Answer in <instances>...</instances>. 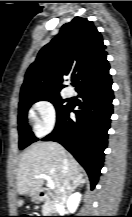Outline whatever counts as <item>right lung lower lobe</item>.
I'll list each match as a JSON object with an SVG mask.
<instances>
[{"instance_id":"obj_1","label":"right lung lower lobe","mask_w":132,"mask_h":217,"mask_svg":"<svg viewBox=\"0 0 132 217\" xmlns=\"http://www.w3.org/2000/svg\"><path fill=\"white\" fill-rule=\"evenodd\" d=\"M112 79L82 87L77 90L81 100L79 110L74 111L76 119L72 120L68 107L58 116L55 129L42 138L43 141H57L62 144L85 168L94 189L103 166L107 147V131L110 128V116L113 112L111 89Z\"/></svg>"}]
</instances>
